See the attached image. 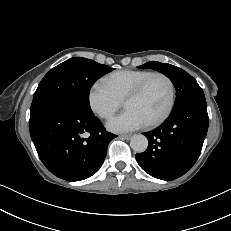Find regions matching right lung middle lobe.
<instances>
[{
	"label": "right lung middle lobe",
	"mask_w": 231,
	"mask_h": 231,
	"mask_svg": "<svg viewBox=\"0 0 231 231\" xmlns=\"http://www.w3.org/2000/svg\"><path fill=\"white\" fill-rule=\"evenodd\" d=\"M112 69L93 60L71 58L51 69L34 93L30 117H34L48 106L62 100L73 101L91 109L89 92L97 79Z\"/></svg>",
	"instance_id": "dd1d6c3e"
}]
</instances>
